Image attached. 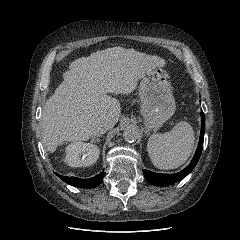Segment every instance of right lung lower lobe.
<instances>
[{
    "mask_svg": "<svg viewBox=\"0 0 240 240\" xmlns=\"http://www.w3.org/2000/svg\"><path fill=\"white\" fill-rule=\"evenodd\" d=\"M60 179H62L64 182L75 186L79 188H94L100 185V183L103 180L104 171H102L100 174L96 175L95 177L89 178V179H79L76 177H65L58 175Z\"/></svg>",
    "mask_w": 240,
    "mask_h": 240,
    "instance_id": "98d812e1",
    "label": "right lung lower lobe"
}]
</instances>
